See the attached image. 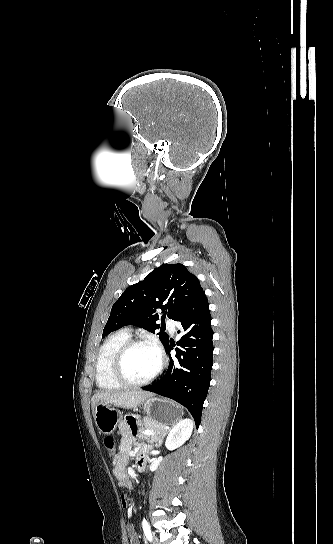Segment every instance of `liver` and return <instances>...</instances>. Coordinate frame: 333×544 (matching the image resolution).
Wrapping results in <instances>:
<instances>
[{
    "label": "liver",
    "mask_w": 333,
    "mask_h": 544,
    "mask_svg": "<svg viewBox=\"0 0 333 544\" xmlns=\"http://www.w3.org/2000/svg\"><path fill=\"white\" fill-rule=\"evenodd\" d=\"M152 394L141 390L124 391H100L94 394L91 399V408L94 415L95 407L98 403H107L114 406L130 409L136 408L142 404Z\"/></svg>",
    "instance_id": "liver-1"
}]
</instances>
